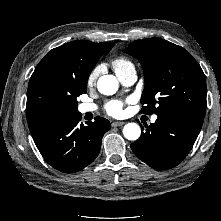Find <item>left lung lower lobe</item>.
I'll return each instance as SVG.
<instances>
[{
    "instance_id": "1",
    "label": "left lung lower lobe",
    "mask_w": 221,
    "mask_h": 221,
    "mask_svg": "<svg viewBox=\"0 0 221 221\" xmlns=\"http://www.w3.org/2000/svg\"><path fill=\"white\" fill-rule=\"evenodd\" d=\"M204 117L174 111L158 116L156 122L133 144L134 154L152 168L165 170L177 166L193 147Z\"/></svg>"
}]
</instances>
